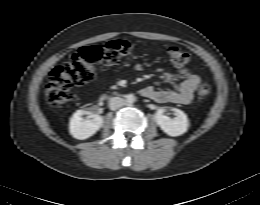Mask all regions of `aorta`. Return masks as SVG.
Listing matches in <instances>:
<instances>
[{
	"label": "aorta",
	"mask_w": 260,
	"mask_h": 205,
	"mask_svg": "<svg viewBox=\"0 0 260 205\" xmlns=\"http://www.w3.org/2000/svg\"><path fill=\"white\" fill-rule=\"evenodd\" d=\"M126 103L127 104H133L136 101V97L133 94H128L126 96Z\"/></svg>",
	"instance_id": "obj_1"
}]
</instances>
